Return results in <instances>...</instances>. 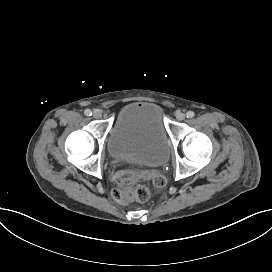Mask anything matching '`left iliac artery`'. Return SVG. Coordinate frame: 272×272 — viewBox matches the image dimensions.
<instances>
[{
    "label": "left iliac artery",
    "mask_w": 272,
    "mask_h": 272,
    "mask_svg": "<svg viewBox=\"0 0 272 272\" xmlns=\"http://www.w3.org/2000/svg\"><path fill=\"white\" fill-rule=\"evenodd\" d=\"M186 117H187V118H193V117H194V112H193V111H188V112L186 113Z\"/></svg>",
    "instance_id": "obj_1"
}]
</instances>
